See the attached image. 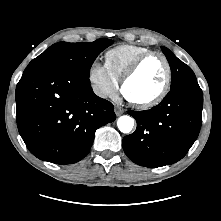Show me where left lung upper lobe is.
<instances>
[{
    "instance_id": "left-lung-upper-lobe-1",
    "label": "left lung upper lobe",
    "mask_w": 221,
    "mask_h": 221,
    "mask_svg": "<svg viewBox=\"0 0 221 221\" xmlns=\"http://www.w3.org/2000/svg\"><path fill=\"white\" fill-rule=\"evenodd\" d=\"M171 68V89L190 81H197L192 69L178 59L169 49L161 47Z\"/></svg>"
}]
</instances>
